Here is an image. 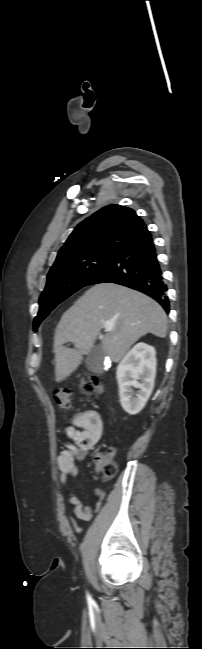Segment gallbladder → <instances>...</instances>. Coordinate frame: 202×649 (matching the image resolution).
Listing matches in <instances>:
<instances>
[{
  "label": "gallbladder",
  "instance_id": "1",
  "mask_svg": "<svg viewBox=\"0 0 202 649\" xmlns=\"http://www.w3.org/2000/svg\"><path fill=\"white\" fill-rule=\"evenodd\" d=\"M86 367L93 372H101L103 369L104 353L99 346L93 347L86 357Z\"/></svg>",
  "mask_w": 202,
  "mask_h": 649
}]
</instances>
